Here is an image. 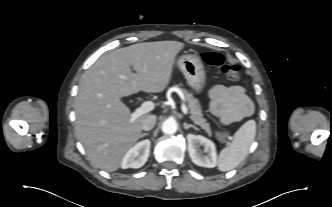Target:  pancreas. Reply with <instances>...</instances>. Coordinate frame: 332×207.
Wrapping results in <instances>:
<instances>
[{
  "label": "pancreas",
  "instance_id": "1",
  "mask_svg": "<svg viewBox=\"0 0 332 207\" xmlns=\"http://www.w3.org/2000/svg\"><path fill=\"white\" fill-rule=\"evenodd\" d=\"M186 102L188 103V107L190 109V118L194 122V124L200 126L209 136L212 135L210 125L206 119L203 118V114L199 105V102L193 95L187 92L185 89H181ZM227 133H216V137L218 140H222L223 137H226Z\"/></svg>",
  "mask_w": 332,
  "mask_h": 207
}]
</instances>
